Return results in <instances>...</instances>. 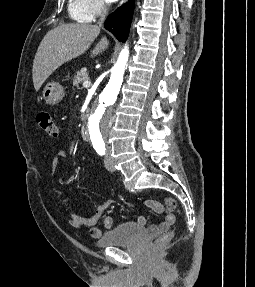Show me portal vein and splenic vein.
I'll return each mask as SVG.
<instances>
[{"label": "portal vein and splenic vein", "mask_w": 255, "mask_h": 287, "mask_svg": "<svg viewBox=\"0 0 255 287\" xmlns=\"http://www.w3.org/2000/svg\"><path fill=\"white\" fill-rule=\"evenodd\" d=\"M91 82H84L83 88H90Z\"/></svg>", "instance_id": "obj_1"}]
</instances>
